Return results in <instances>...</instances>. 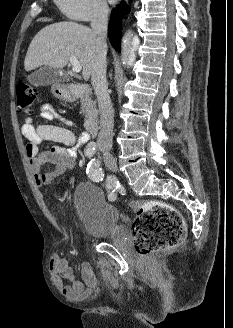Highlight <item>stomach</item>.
Masks as SVG:
<instances>
[{
  "instance_id": "0dacf381",
  "label": "stomach",
  "mask_w": 233,
  "mask_h": 328,
  "mask_svg": "<svg viewBox=\"0 0 233 328\" xmlns=\"http://www.w3.org/2000/svg\"><path fill=\"white\" fill-rule=\"evenodd\" d=\"M54 95L56 97H59V98H62V99H70L71 98V96L67 92H63V93L54 92Z\"/></svg>"
}]
</instances>
